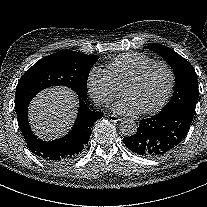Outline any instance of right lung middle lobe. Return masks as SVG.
I'll list each match as a JSON object with an SVG mask.
<instances>
[{
    "instance_id": "1",
    "label": "right lung middle lobe",
    "mask_w": 207,
    "mask_h": 207,
    "mask_svg": "<svg viewBox=\"0 0 207 207\" xmlns=\"http://www.w3.org/2000/svg\"><path fill=\"white\" fill-rule=\"evenodd\" d=\"M99 56L74 51H61L36 62L21 77L16 86L15 107L28 103L45 89L54 85L71 88L81 99L87 96L90 69Z\"/></svg>"
}]
</instances>
